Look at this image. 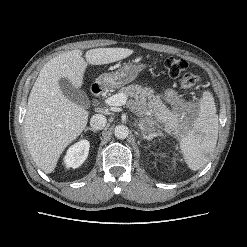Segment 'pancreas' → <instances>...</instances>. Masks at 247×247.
<instances>
[{"instance_id": "pancreas-1", "label": "pancreas", "mask_w": 247, "mask_h": 247, "mask_svg": "<svg viewBox=\"0 0 247 247\" xmlns=\"http://www.w3.org/2000/svg\"><path fill=\"white\" fill-rule=\"evenodd\" d=\"M120 93L126 97L133 98L129 100V105L137 114H144L149 109L153 114L155 121L163 124L166 128L174 127V116L162 103V100L154 94V91L147 87L137 84H131L122 87Z\"/></svg>"}]
</instances>
